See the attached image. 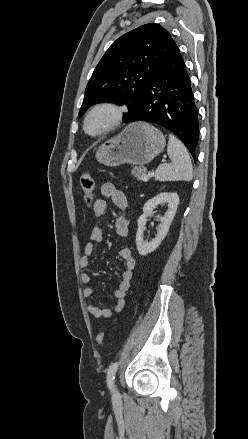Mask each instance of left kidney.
Listing matches in <instances>:
<instances>
[{
    "label": "left kidney",
    "mask_w": 248,
    "mask_h": 439,
    "mask_svg": "<svg viewBox=\"0 0 248 439\" xmlns=\"http://www.w3.org/2000/svg\"><path fill=\"white\" fill-rule=\"evenodd\" d=\"M167 204V210L163 217H160L159 229L155 238L148 242L144 240L143 232L145 230V225L147 222V216L152 214L154 209L161 204ZM179 204V196L176 193L163 192L152 199L148 200L143 207V215H141L137 221L138 229L136 233V245L137 250L140 255L146 256L153 252L166 237L168 230L170 228L171 222L176 214L177 206Z\"/></svg>",
    "instance_id": "obj_1"
}]
</instances>
